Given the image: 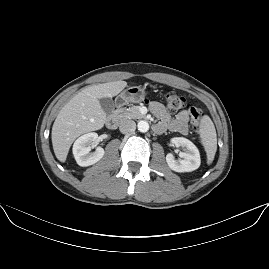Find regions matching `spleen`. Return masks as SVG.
Wrapping results in <instances>:
<instances>
[{"label": "spleen", "mask_w": 269, "mask_h": 269, "mask_svg": "<svg viewBox=\"0 0 269 269\" xmlns=\"http://www.w3.org/2000/svg\"><path fill=\"white\" fill-rule=\"evenodd\" d=\"M199 128L201 143L207 153V164H211L217 150V135L209 116L205 115L202 117Z\"/></svg>", "instance_id": "1"}]
</instances>
